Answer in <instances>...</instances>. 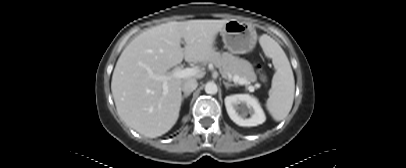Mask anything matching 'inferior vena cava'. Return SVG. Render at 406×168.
<instances>
[{
    "label": "inferior vena cava",
    "instance_id": "1",
    "mask_svg": "<svg viewBox=\"0 0 406 168\" xmlns=\"http://www.w3.org/2000/svg\"><path fill=\"white\" fill-rule=\"evenodd\" d=\"M198 86L196 79H189L182 83V91L185 94H190L193 92Z\"/></svg>",
    "mask_w": 406,
    "mask_h": 168
}]
</instances>
